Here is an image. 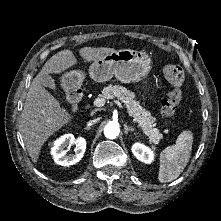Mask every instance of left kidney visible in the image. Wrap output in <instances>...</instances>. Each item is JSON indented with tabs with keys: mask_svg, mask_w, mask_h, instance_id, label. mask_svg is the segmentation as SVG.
Here are the masks:
<instances>
[{
	"mask_svg": "<svg viewBox=\"0 0 221 221\" xmlns=\"http://www.w3.org/2000/svg\"><path fill=\"white\" fill-rule=\"evenodd\" d=\"M132 153L134 156L140 160L141 162H144L146 164H150L154 160V152L153 149L141 144V143H135L132 146Z\"/></svg>",
	"mask_w": 221,
	"mask_h": 221,
	"instance_id": "1",
	"label": "left kidney"
}]
</instances>
